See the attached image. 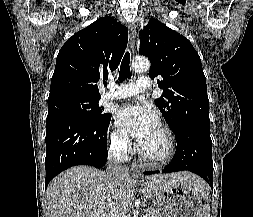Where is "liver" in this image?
Masks as SVG:
<instances>
[{"instance_id": "liver-1", "label": "liver", "mask_w": 253, "mask_h": 217, "mask_svg": "<svg viewBox=\"0 0 253 217\" xmlns=\"http://www.w3.org/2000/svg\"><path fill=\"white\" fill-rule=\"evenodd\" d=\"M119 187L106 172L90 166H75L55 177L47 188L51 217H127L135 195L134 181L121 179ZM140 192L146 199L155 198L152 190L165 183L197 188L204 192L206 183L190 172L159 174L145 177ZM118 188V193H113Z\"/></svg>"}]
</instances>
